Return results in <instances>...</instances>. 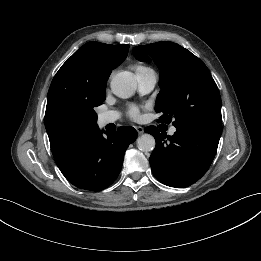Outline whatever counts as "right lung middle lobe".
<instances>
[{
  "instance_id": "right-lung-middle-lobe-1",
  "label": "right lung middle lobe",
  "mask_w": 261,
  "mask_h": 261,
  "mask_svg": "<svg viewBox=\"0 0 261 261\" xmlns=\"http://www.w3.org/2000/svg\"><path fill=\"white\" fill-rule=\"evenodd\" d=\"M105 98H106V95H104V97H103V101L105 100ZM92 116L96 119L97 114L95 113V111L92 113ZM75 124H76V123H75Z\"/></svg>"
}]
</instances>
